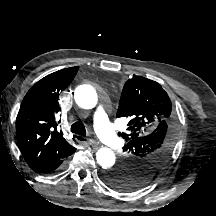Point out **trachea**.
Returning a JSON list of instances; mask_svg holds the SVG:
<instances>
[{
    "label": "trachea",
    "instance_id": "obj_1",
    "mask_svg": "<svg viewBox=\"0 0 216 216\" xmlns=\"http://www.w3.org/2000/svg\"><path fill=\"white\" fill-rule=\"evenodd\" d=\"M71 132L80 136H86V129L82 122H75L71 126Z\"/></svg>",
    "mask_w": 216,
    "mask_h": 216
}]
</instances>
